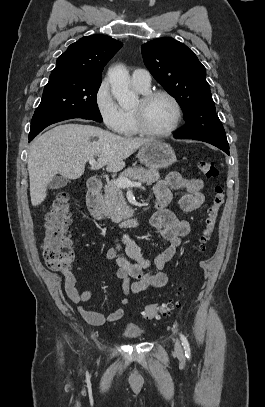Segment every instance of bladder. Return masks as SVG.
Wrapping results in <instances>:
<instances>
[{"instance_id": "obj_1", "label": "bladder", "mask_w": 265, "mask_h": 407, "mask_svg": "<svg viewBox=\"0 0 265 407\" xmlns=\"http://www.w3.org/2000/svg\"><path fill=\"white\" fill-rule=\"evenodd\" d=\"M143 334V329L135 324H128L123 330V335L128 339H138Z\"/></svg>"}]
</instances>
